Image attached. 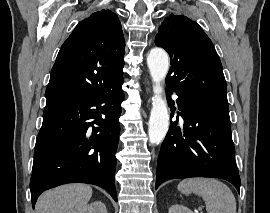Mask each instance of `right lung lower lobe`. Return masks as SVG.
<instances>
[{"instance_id":"1","label":"right lung lower lobe","mask_w":270,"mask_h":213,"mask_svg":"<svg viewBox=\"0 0 270 213\" xmlns=\"http://www.w3.org/2000/svg\"><path fill=\"white\" fill-rule=\"evenodd\" d=\"M122 84L89 98L45 107L30 180L33 208L43 191L75 182L101 186L117 201L115 154Z\"/></svg>"}]
</instances>
